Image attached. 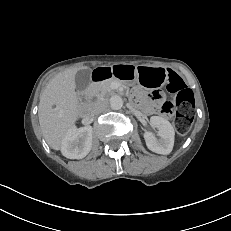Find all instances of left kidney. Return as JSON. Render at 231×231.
Returning <instances> with one entry per match:
<instances>
[{
    "mask_svg": "<svg viewBox=\"0 0 231 231\" xmlns=\"http://www.w3.org/2000/svg\"><path fill=\"white\" fill-rule=\"evenodd\" d=\"M150 125L152 128L158 129L159 139L152 132L143 133L145 143L151 151L167 155L174 145L175 130L171 123L160 116H152L150 118Z\"/></svg>",
    "mask_w": 231,
    "mask_h": 231,
    "instance_id": "5707ae66",
    "label": "left kidney"
}]
</instances>
